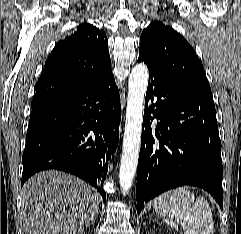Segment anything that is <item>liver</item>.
<instances>
[{
    "label": "liver",
    "instance_id": "obj_1",
    "mask_svg": "<svg viewBox=\"0 0 241 234\" xmlns=\"http://www.w3.org/2000/svg\"><path fill=\"white\" fill-rule=\"evenodd\" d=\"M99 202V193L73 175L37 173L22 189L24 233L80 234L94 221Z\"/></svg>",
    "mask_w": 241,
    "mask_h": 234
}]
</instances>
